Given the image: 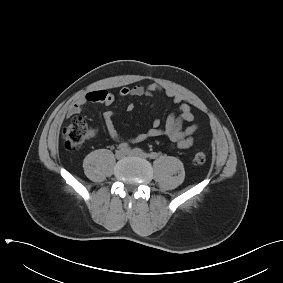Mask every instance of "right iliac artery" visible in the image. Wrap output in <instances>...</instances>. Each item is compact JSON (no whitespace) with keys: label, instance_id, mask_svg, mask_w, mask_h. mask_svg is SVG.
I'll use <instances>...</instances> for the list:
<instances>
[{"label":"right iliac artery","instance_id":"82829eb1","mask_svg":"<svg viewBox=\"0 0 283 283\" xmlns=\"http://www.w3.org/2000/svg\"><path fill=\"white\" fill-rule=\"evenodd\" d=\"M118 149L119 150H128L129 149V145L127 143H121L118 145Z\"/></svg>","mask_w":283,"mask_h":283}]
</instances>
